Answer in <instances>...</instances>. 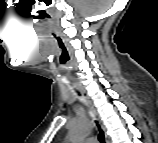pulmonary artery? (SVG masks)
<instances>
[{
  "label": "pulmonary artery",
  "instance_id": "pulmonary-artery-1",
  "mask_svg": "<svg viewBox=\"0 0 158 143\" xmlns=\"http://www.w3.org/2000/svg\"><path fill=\"white\" fill-rule=\"evenodd\" d=\"M88 142L93 143V142H95V139L89 138V139H88Z\"/></svg>",
  "mask_w": 158,
  "mask_h": 143
}]
</instances>
